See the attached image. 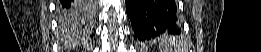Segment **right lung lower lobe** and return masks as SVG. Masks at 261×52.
I'll return each mask as SVG.
<instances>
[{
    "instance_id": "right-lung-lower-lobe-1",
    "label": "right lung lower lobe",
    "mask_w": 261,
    "mask_h": 52,
    "mask_svg": "<svg viewBox=\"0 0 261 52\" xmlns=\"http://www.w3.org/2000/svg\"><path fill=\"white\" fill-rule=\"evenodd\" d=\"M63 18H73L82 9L80 3L72 1H60Z\"/></svg>"
}]
</instances>
